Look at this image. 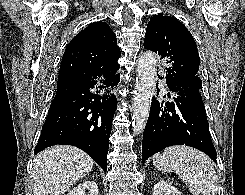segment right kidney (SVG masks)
I'll list each match as a JSON object with an SVG mask.
<instances>
[{
  "label": "right kidney",
  "mask_w": 245,
  "mask_h": 195,
  "mask_svg": "<svg viewBox=\"0 0 245 195\" xmlns=\"http://www.w3.org/2000/svg\"><path fill=\"white\" fill-rule=\"evenodd\" d=\"M86 191L89 192V195H98V187L96 182L85 181L69 191L67 195H86Z\"/></svg>",
  "instance_id": "ca27d5eb"
}]
</instances>
